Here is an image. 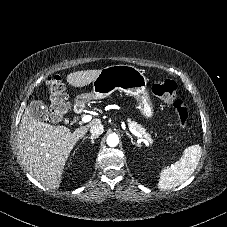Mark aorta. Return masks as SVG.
<instances>
[{
    "label": "aorta",
    "mask_w": 227,
    "mask_h": 227,
    "mask_svg": "<svg viewBox=\"0 0 227 227\" xmlns=\"http://www.w3.org/2000/svg\"><path fill=\"white\" fill-rule=\"evenodd\" d=\"M119 143V137L117 134H110L108 137H107V144L108 146L110 147H115L117 146Z\"/></svg>",
    "instance_id": "aorta-1"
}]
</instances>
